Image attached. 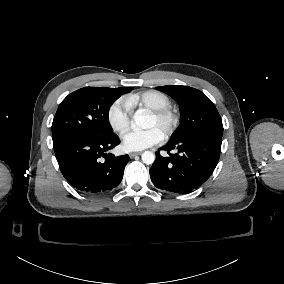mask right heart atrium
Here are the masks:
<instances>
[{
    "mask_svg": "<svg viewBox=\"0 0 284 284\" xmlns=\"http://www.w3.org/2000/svg\"><path fill=\"white\" fill-rule=\"evenodd\" d=\"M133 104L129 97L114 100L107 111V122L115 133H122L130 125Z\"/></svg>",
    "mask_w": 284,
    "mask_h": 284,
    "instance_id": "right-heart-atrium-1",
    "label": "right heart atrium"
}]
</instances>
